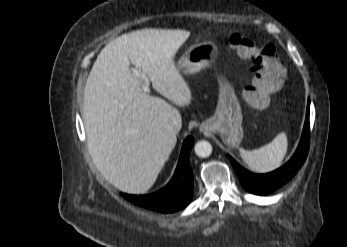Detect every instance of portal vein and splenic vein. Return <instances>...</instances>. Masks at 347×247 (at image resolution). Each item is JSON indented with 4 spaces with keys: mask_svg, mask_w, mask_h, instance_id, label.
Here are the masks:
<instances>
[{
    "mask_svg": "<svg viewBox=\"0 0 347 247\" xmlns=\"http://www.w3.org/2000/svg\"><path fill=\"white\" fill-rule=\"evenodd\" d=\"M133 72L137 77H139L143 81V91L145 93L149 92V79L145 76L144 73H140V71L138 70H134Z\"/></svg>",
    "mask_w": 347,
    "mask_h": 247,
    "instance_id": "18ae733b",
    "label": "portal vein and splenic vein"
}]
</instances>
